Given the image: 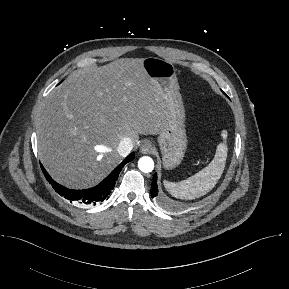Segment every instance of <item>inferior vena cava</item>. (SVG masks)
Wrapping results in <instances>:
<instances>
[{"label": "inferior vena cava", "mask_w": 289, "mask_h": 289, "mask_svg": "<svg viewBox=\"0 0 289 289\" xmlns=\"http://www.w3.org/2000/svg\"><path fill=\"white\" fill-rule=\"evenodd\" d=\"M132 148H133L132 140L129 137H124L119 142L117 150L121 156L125 157L131 152Z\"/></svg>", "instance_id": "inferior-vena-cava-1"}]
</instances>
